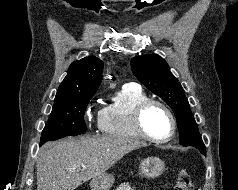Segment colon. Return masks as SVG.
<instances>
[{
  "instance_id": "5ec220e1",
  "label": "colon",
  "mask_w": 238,
  "mask_h": 190,
  "mask_svg": "<svg viewBox=\"0 0 238 190\" xmlns=\"http://www.w3.org/2000/svg\"><path fill=\"white\" fill-rule=\"evenodd\" d=\"M173 190H194L192 180L186 171H181Z\"/></svg>"
}]
</instances>
